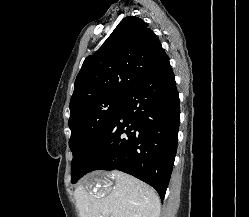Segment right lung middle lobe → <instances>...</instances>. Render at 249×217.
Listing matches in <instances>:
<instances>
[{"mask_svg":"<svg viewBox=\"0 0 249 217\" xmlns=\"http://www.w3.org/2000/svg\"><path fill=\"white\" fill-rule=\"evenodd\" d=\"M125 96L107 95L80 104L70 114L71 138L69 147L73 153L71 182L83 175L80 166L91 146L101 137L120 109Z\"/></svg>","mask_w":249,"mask_h":217,"instance_id":"right-lung-middle-lobe-1","label":"right lung middle lobe"}]
</instances>
